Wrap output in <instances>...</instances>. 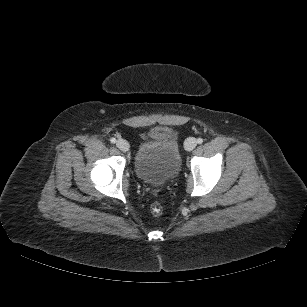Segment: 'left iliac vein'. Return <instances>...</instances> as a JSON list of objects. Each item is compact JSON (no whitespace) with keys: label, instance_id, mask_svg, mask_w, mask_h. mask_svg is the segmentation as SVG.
<instances>
[{"label":"left iliac vein","instance_id":"left-iliac-vein-1","mask_svg":"<svg viewBox=\"0 0 307 307\" xmlns=\"http://www.w3.org/2000/svg\"><path fill=\"white\" fill-rule=\"evenodd\" d=\"M196 139L193 137H189L186 139L184 146L187 151H192L196 147Z\"/></svg>","mask_w":307,"mask_h":307}]
</instances>
